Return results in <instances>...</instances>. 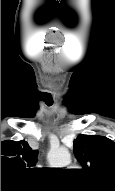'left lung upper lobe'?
<instances>
[{
    "label": "left lung upper lobe",
    "mask_w": 115,
    "mask_h": 191,
    "mask_svg": "<svg viewBox=\"0 0 115 191\" xmlns=\"http://www.w3.org/2000/svg\"><path fill=\"white\" fill-rule=\"evenodd\" d=\"M73 149L82 171L115 191V143L104 136L80 134Z\"/></svg>",
    "instance_id": "obj_1"
}]
</instances>
